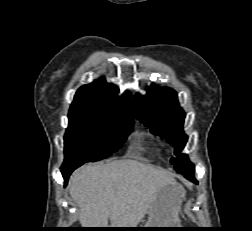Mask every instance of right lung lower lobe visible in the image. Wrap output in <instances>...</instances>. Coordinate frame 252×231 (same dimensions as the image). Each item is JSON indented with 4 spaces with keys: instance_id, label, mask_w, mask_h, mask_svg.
Here are the masks:
<instances>
[{
    "instance_id": "obj_1",
    "label": "right lung lower lobe",
    "mask_w": 252,
    "mask_h": 231,
    "mask_svg": "<svg viewBox=\"0 0 252 231\" xmlns=\"http://www.w3.org/2000/svg\"><path fill=\"white\" fill-rule=\"evenodd\" d=\"M77 167H72V168H67V169H63L61 170L63 178L65 180V184H67L68 182V178L70 176V174L76 169Z\"/></svg>"
}]
</instances>
